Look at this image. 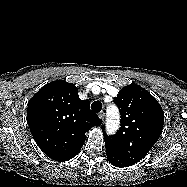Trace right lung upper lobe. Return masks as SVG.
<instances>
[{"mask_svg": "<svg viewBox=\"0 0 187 187\" xmlns=\"http://www.w3.org/2000/svg\"><path fill=\"white\" fill-rule=\"evenodd\" d=\"M27 120L39 148L56 161L75 157L85 142V133L102 120L90 110L88 100L65 80L44 85L28 102Z\"/></svg>", "mask_w": 187, "mask_h": 187, "instance_id": "obj_1", "label": "right lung upper lobe"}]
</instances>
